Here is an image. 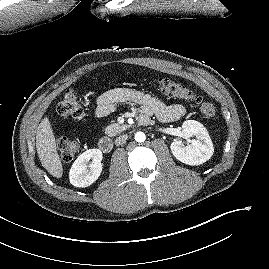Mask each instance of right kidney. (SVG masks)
<instances>
[{"mask_svg":"<svg viewBox=\"0 0 269 269\" xmlns=\"http://www.w3.org/2000/svg\"><path fill=\"white\" fill-rule=\"evenodd\" d=\"M91 160V164L87 165ZM102 151L99 149H89L83 152L75 162L69 172L70 183L75 187H88L94 183L102 172Z\"/></svg>","mask_w":269,"mask_h":269,"instance_id":"ca27d5eb","label":"right kidney"}]
</instances>
